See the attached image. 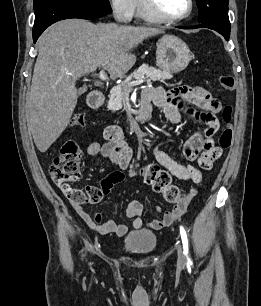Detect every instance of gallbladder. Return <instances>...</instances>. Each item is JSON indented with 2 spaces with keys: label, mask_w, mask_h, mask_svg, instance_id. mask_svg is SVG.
<instances>
[{
  "label": "gallbladder",
  "mask_w": 261,
  "mask_h": 306,
  "mask_svg": "<svg viewBox=\"0 0 261 306\" xmlns=\"http://www.w3.org/2000/svg\"><path fill=\"white\" fill-rule=\"evenodd\" d=\"M85 90H86L85 88L78 89V94L79 95L83 94L85 92Z\"/></svg>",
  "instance_id": "obj_1"
}]
</instances>
